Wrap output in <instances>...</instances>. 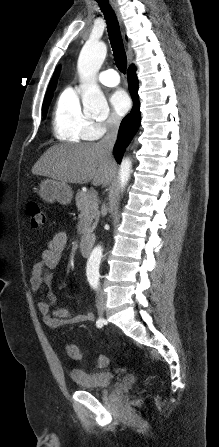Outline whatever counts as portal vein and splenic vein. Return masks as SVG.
Segmentation results:
<instances>
[{
    "label": "portal vein and splenic vein",
    "instance_id": "portal-vein-and-splenic-vein-1",
    "mask_svg": "<svg viewBox=\"0 0 219 447\" xmlns=\"http://www.w3.org/2000/svg\"><path fill=\"white\" fill-rule=\"evenodd\" d=\"M91 194L94 196V197H96V194H95V192H93V191H91Z\"/></svg>",
    "mask_w": 219,
    "mask_h": 447
}]
</instances>
